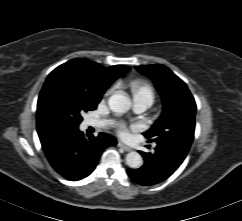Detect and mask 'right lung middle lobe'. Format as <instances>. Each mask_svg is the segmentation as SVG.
I'll return each instance as SVG.
<instances>
[{"label": "right lung middle lobe", "instance_id": "dd1d6c3e", "mask_svg": "<svg viewBox=\"0 0 242 221\" xmlns=\"http://www.w3.org/2000/svg\"><path fill=\"white\" fill-rule=\"evenodd\" d=\"M100 100V97H89L79 90L57 85L45 96L43 107L53 129H76L82 121V114L96 109Z\"/></svg>", "mask_w": 242, "mask_h": 221}]
</instances>
